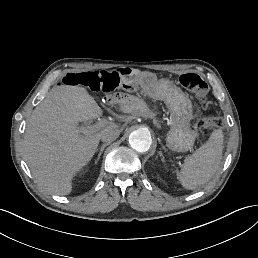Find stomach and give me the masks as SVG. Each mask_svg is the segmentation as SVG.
Wrapping results in <instances>:
<instances>
[{
	"label": "stomach",
	"mask_w": 258,
	"mask_h": 258,
	"mask_svg": "<svg viewBox=\"0 0 258 258\" xmlns=\"http://www.w3.org/2000/svg\"><path fill=\"white\" fill-rule=\"evenodd\" d=\"M130 80L139 86L145 94L164 100L171 113V130L167 136L168 146L176 151H186L194 143L195 133L190 129L191 103L181 90L169 80H157L155 76L137 73Z\"/></svg>",
	"instance_id": "0dacf381"
}]
</instances>
